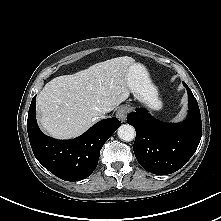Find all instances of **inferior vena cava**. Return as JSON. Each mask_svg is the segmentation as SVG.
I'll use <instances>...</instances> for the list:
<instances>
[{"instance_id":"602c4592","label":"inferior vena cava","mask_w":221,"mask_h":221,"mask_svg":"<svg viewBox=\"0 0 221 221\" xmlns=\"http://www.w3.org/2000/svg\"><path fill=\"white\" fill-rule=\"evenodd\" d=\"M103 118H105V115L104 114L100 115L99 119H103Z\"/></svg>"}]
</instances>
